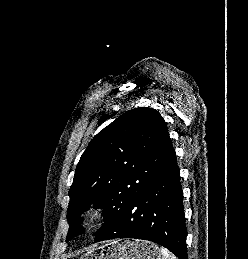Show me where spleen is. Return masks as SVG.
Segmentation results:
<instances>
[{"instance_id":"obj_1","label":"spleen","mask_w":248,"mask_h":259,"mask_svg":"<svg viewBox=\"0 0 248 259\" xmlns=\"http://www.w3.org/2000/svg\"><path fill=\"white\" fill-rule=\"evenodd\" d=\"M160 252L162 255V259H177L174 254H172L167 248L161 247Z\"/></svg>"}]
</instances>
